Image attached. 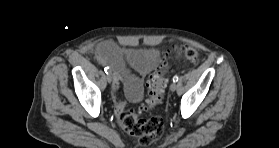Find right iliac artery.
<instances>
[{
  "instance_id": "right-iliac-artery-1",
  "label": "right iliac artery",
  "mask_w": 279,
  "mask_h": 148,
  "mask_svg": "<svg viewBox=\"0 0 279 148\" xmlns=\"http://www.w3.org/2000/svg\"><path fill=\"white\" fill-rule=\"evenodd\" d=\"M104 71H105L106 74H110L111 73V70L109 69V67H105Z\"/></svg>"
}]
</instances>
